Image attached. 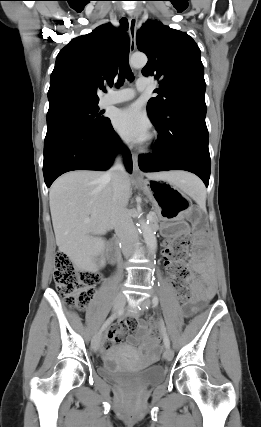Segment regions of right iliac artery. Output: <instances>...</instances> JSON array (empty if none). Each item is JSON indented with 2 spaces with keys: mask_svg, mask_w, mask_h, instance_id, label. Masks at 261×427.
<instances>
[{
  "mask_svg": "<svg viewBox=\"0 0 261 427\" xmlns=\"http://www.w3.org/2000/svg\"><path fill=\"white\" fill-rule=\"evenodd\" d=\"M121 312H122V310H120L118 313L111 315L103 324L101 331H103L117 317V315L120 314Z\"/></svg>",
  "mask_w": 261,
  "mask_h": 427,
  "instance_id": "1",
  "label": "right iliac artery"
}]
</instances>
